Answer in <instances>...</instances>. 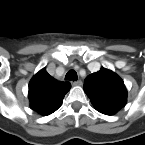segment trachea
Returning <instances> with one entry per match:
<instances>
[{
  "label": "trachea",
  "mask_w": 145,
  "mask_h": 145,
  "mask_svg": "<svg viewBox=\"0 0 145 145\" xmlns=\"http://www.w3.org/2000/svg\"><path fill=\"white\" fill-rule=\"evenodd\" d=\"M65 79H69V80H76L78 79L77 73L74 70H70L67 72Z\"/></svg>",
  "instance_id": "trachea-1"
}]
</instances>
